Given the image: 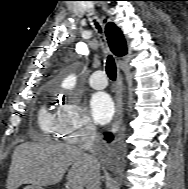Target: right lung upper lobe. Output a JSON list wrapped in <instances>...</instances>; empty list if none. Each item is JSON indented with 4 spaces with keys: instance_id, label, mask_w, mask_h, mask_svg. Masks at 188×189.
<instances>
[{
    "instance_id": "obj_1",
    "label": "right lung upper lobe",
    "mask_w": 188,
    "mask_h": 189,
    "mask_svg": "<svg viewBox=\"0 0 188 189\" xmlns=\"http://www.w3.org/2000/svg\"><path fill=\"white\" fill-rule=\"evenodd\" d=\"M105 33L111 51L116 56H123L127 53V45L121 30L114 24L109 22L106 25Z\"/></svg>"
}]
</instances>
